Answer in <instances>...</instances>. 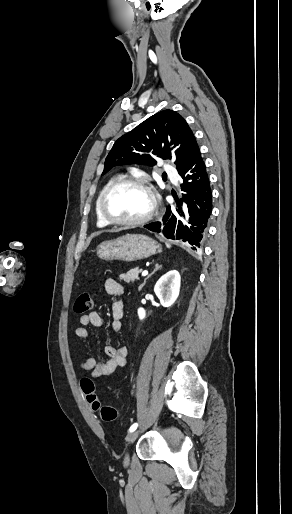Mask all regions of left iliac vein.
<instances>
[{
  "mask_svg": "<svg viewBox=\"0 0 292 514\" xmlns=\"http://www.w3.org/2000/svg\"><path fill=\"white\" fill-rule=\"evenodd\" d=\"M139 433H140V429H137V430L131 432L130 434H128V436L126 437L127 445H131L136 440ZM129 460H130V457H129V453L127 452L124 457V464L126 466L129 464Z\"/></svg>",
  "mask_w": 292,
  "mask_h": 514,
  "instance_id": "obj_1",
  "label": "left iliac vein"
}]
</instances>
